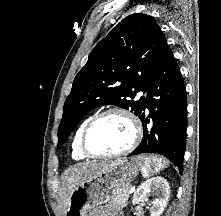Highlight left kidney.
<instances>
[{"mask_svg": "<svg viewBox=\"0 0 221 216\" xmlns=\"http://www.w3.org/2000/svg\"><path fill=\"white\" fill-rule=\"evenodd\" d=\"M151 192H155L157 198L151 202L150 216H160L170 197V186L163 177L157 176L143 182L135 191L132 204H139L147 200V196Z\"/></svg>", "mask_w": 221, "mask_h": 216, "instance_id": "left-kidney-1", "label": "left kidney"}]
</instances>
